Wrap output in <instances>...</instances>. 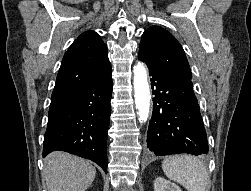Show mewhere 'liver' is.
<instances>
[{"label": "liver", "mask_w": 251, "mask_h": 191, "mask_svg": "<svg viewBox=\"0 0 251 191\" xmlns=\"http://www.w3.org/2000/svg\"><path fill=\"white\" fill-rule=\"evenodd\" d=\"M43 173L48 191H85L96 169L87 159L65 151H52L44 159Z\"/></svg>", "instance_id": "6515ba94"}]
</instances>
